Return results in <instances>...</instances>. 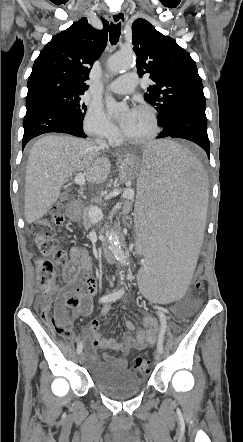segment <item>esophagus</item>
<instances>
[{
    "label": "esophagus",
    "mask_w": 243,
    "mask_h": 442,
    "mask_svg": "<svg viewBox=\"0 0 243 442\" xmlns=\"http://www.w3.org/2000/svg\"><path fill=\"white\" fill-rule=\"evenodd\" d=\"M125 14L122 10H118L112 13V22L114 24L121 23L122 25L125 23Z\"/></svg>",
    "instance_id": "34e87169"
}]
</instances>
